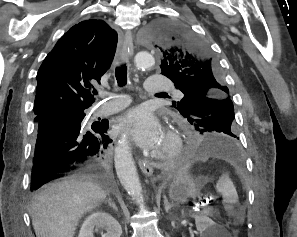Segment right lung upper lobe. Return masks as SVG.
Here are the masks:
<instances>
[{
  "label": "right lung upper lobe",
  "instance_id": "right-lung-upper-lobe-1",
  "mask_svg": "<svg viewBox=\"0 0 297 237\" xmlns=\"http://www.w3.org/2000/svg\"><path fill=\"white\" fill-rule=\"evenodd\" d=\"M116 45L117 33L102 20H86L71 27L37 73L35 120L53 111L88 108L94 102L92 84L100 82L108 70Z\"/></svg>",
  "mask_w": 297,
  "mask_h": 237
}]
</instances>
